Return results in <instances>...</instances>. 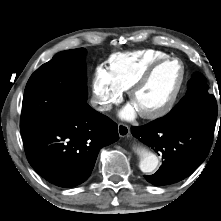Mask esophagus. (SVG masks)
I'll use <instances>...</instances> for the list:
<instances>
[{"instance_id":"esophagus-1","label":"esophagus","mask_w":221,"mask_h":221,"mask_svg":"<svg viewBox=\"0 0 221 221\" xmlns=\"http://www.w3.org/2000/svg\"><path fill=\"white\" fill-rule=\"evenodd\" d=\"M118 134L120 137H128L130 134V128L125 124H118Z\"/></svg>"}]
</instances>
